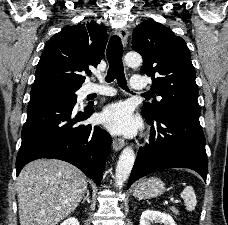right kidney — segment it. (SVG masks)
<instances>
[{"mask_svg": "<svg viewBox=\"0 0 228 225\" xmlns=\"http://www.w3.org/2000/svg\"><path fill=\"white\" fill-rule=\"evenodd\" d=\"M61 225H79L77 219L75 217H69V219H66V221H63Z\"/></svg>", "mask_w": 228, "mask_h": 225, "instance_id": "obj_1", "label": "right kidney"}]
</instances>
